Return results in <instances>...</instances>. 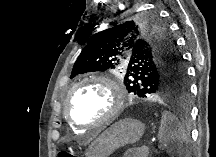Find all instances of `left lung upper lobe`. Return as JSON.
<instances>
[{
    "label": "left lung upper lobe",
    "instance_id": "left-lung-upper-lobe-1",
    "mask_svg": "<svg viewBox=\"0 0 216 157\" xmlns=\"http://www.w3.org/2000/svg\"><path fill=\"white\" fill-rule=\"evenodd\" d=\"M71 78L78 74L126 69L124 84L130 93L146 98L172 95L186 98L187 73L176 42L156 10L128 15L84 39Z\"/></svg>",
    "mask_w": 216,
    "mask_h": 157
}]
</instances>
